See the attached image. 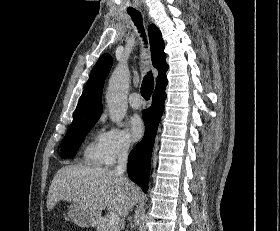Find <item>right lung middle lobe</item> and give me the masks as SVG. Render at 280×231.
Instances as JSON below:
<instances>
[{"instance_id":"right-lung-middle-lobe-1","label":"right lung middle lobe","mask_w":280,"mask_h":231,"mask_svg":"<svg viewBox=\"0 0 280 231\" xmlns=\"http://www.w3.org/2000/svg\"><path fill=\"white\" fill-rule=\"evenodd\" d=\"M95 121H88L78 125L70 126L61 147V158H73L83 142L86 134L95 125Z\"/></svg>"}]
</instances>
